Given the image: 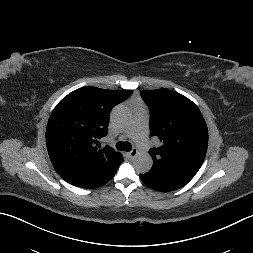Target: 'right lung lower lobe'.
Returning <instances> with one entry per match:
<instances>
[{
  "mask_svg": "<svg viewBox=\"0 0 253 253\" xmlns=\"http://www.w3.org/2000/svg\"><path fill=\"white\" fill-rule=\"evenodd\" d=\"M122 161H123V157L121 155V159H120L118 165L109 173V175L106 177V179L103 180L102 183H100L97 187H100V186L106 184L109 180H111L113 178V176L117 172V169H118L119 165L122 163ZM97 187H95V188H97Z\"/></svg>",
  "mask_w": 253,
  "mask_h": 253,
  "instance_id": "98d812e1",
  "label": "right lung lower lobe"
}]
</instances>
